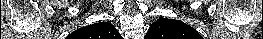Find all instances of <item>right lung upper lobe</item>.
Returning <instances> with one entry per match:
<instances>
[{
  "mask_svg": "<svg viewBox=\"0 0 263 39\" xmlns=\"http://www.w3.org/2000/svg\"><path fill=\"white\" fill-rule=\"evenodd\" d=\"M78 35L83 39H120L121 36L111 23L100 22L81 28ZM76 31V32H77Z\"/></svg>",
  "mask_w": 263,
  "mask_h": 39,
  "instance_id": "1",
  "label": "right lung upper lobe"
}]
</instances>
